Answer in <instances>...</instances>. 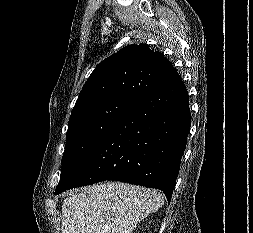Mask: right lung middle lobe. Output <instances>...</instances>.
<instances>
[{"instance_id": "right-lung-middle-lobe-1", "label": "right lung middle lobe", "mask_w": 253, "mask_h": 233, "mask_svg": "<svg viewBox=\"0 0 253 233\" xmlns=\"http://www.w3.org/2000/svg\"><path fill=\"white\" fill-rule=\"evenodd\" d=\"M134 99L111 97L72 111L68 123L60 181L126 114Z\"/></svg>"}]
</instances>
